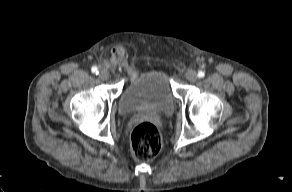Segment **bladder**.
Instances as JSON below:
<instances>
[{
  "label": "bladder",
  "mask_w": 292,
  "mask_h": 192,
  "mask_svg": "<svg viewBox=\"0 0 292 192\" xmlns=\"http://www.w3.org/2000/svg\"><path fill=\"white\" fill-rule=\"evenodd\" d=\"M174 103L168 75L161 70H151L130 78L119 96L118 111L122 115L136 112L169 114Z\"/></svg>",
  "instance_id": "obj_1"
}]
</instances>
